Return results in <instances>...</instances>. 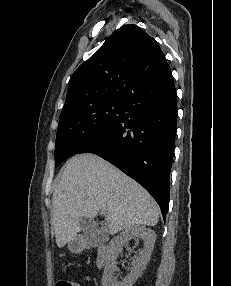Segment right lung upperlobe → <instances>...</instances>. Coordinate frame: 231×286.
I'll return each instance as SVG.
<instances>
[{
  "label": "right lung upper lobe",
  "instance_id": "1",
  "mask_svg": "<svg viewBox=\"0 0 231 286\" xmlns=\"http://www.w3.org/2000/svg\"><path fill=\"white\" fill-rule=\"evenodd\" d=\"M169 74L158 43L138 26L124 25L73 73L60 117L102 102L124 101L134 88Z\"/></svg>",
  "mask_w": 231,
  "mask_h": 286
}]
</instances>
